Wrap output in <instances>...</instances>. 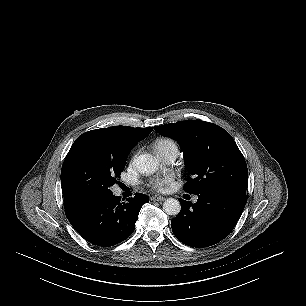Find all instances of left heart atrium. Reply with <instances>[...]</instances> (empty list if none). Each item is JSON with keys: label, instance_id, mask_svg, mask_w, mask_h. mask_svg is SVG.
Wrapping results in <instances>:
<instances>
[{"label": "left heart atrium", "instance_id": "39dd6f15", "mask_svg": "<svg viewBox=\"0 0 306 306\" xmlns=\"http://www.w3.org/2000/svg\"><path fill=\"white\" fill-rule=\"evenodd\" d=\"M174 181L173 174H165L163 176H154L147 181V186L153 190L166 191Z\"/></svg>", "mask_w": 306, "mask_h": 306}]
</instances>
